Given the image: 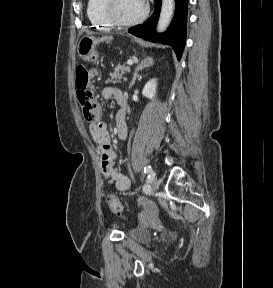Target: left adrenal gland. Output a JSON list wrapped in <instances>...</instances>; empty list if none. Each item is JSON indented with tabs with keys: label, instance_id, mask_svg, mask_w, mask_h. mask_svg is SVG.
Segmentation results:
<instances>
[{
	"label": "left adrenal gland",
	"instance_id": "a2214340",
	"mask_svg": "<svg viewBox=\"0 0 273 288\" xmlns=\"http://www.w3.org/2000/svg\"><path fill=\"white\" fill-rule=\"evenodd\" d=\"M153 64H154V62H153L152 58L148 57V58L143 59L140 62V64L137 66V68L135 69V72H134V75H133V79H132V81L130 83L129 88H131L134 85V83L136 81V78L138 77V72L140 70L144 69V68L151 67Z\"/></svg>",
	"mask_w": 273,
	"mask_h": 288
}]
</instances>
